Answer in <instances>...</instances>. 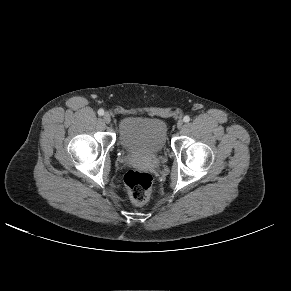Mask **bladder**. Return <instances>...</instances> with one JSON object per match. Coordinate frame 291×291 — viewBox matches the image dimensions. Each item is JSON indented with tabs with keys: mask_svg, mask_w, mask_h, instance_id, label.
<instances>
[{
	"mask_svg": "<svg viewBox=\"0 0 291 291\" xmlns=\"http://www.w3.org/2000/svg\"><path fill=\"white\" fill-rule=\"evenodd\" d=\"M167 139V124L159 117L126 116L119 122L118 142L128 152L157 154Z\"/></svg>",
	"mask_w": 291,
	"mask_h": 291,
	"instance_id": "31cf9c89",
	"label": "bladder"
}]
</instances>
